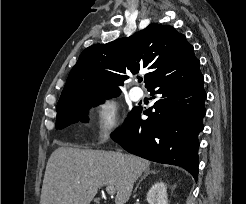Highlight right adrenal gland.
<instances>
[{"instance_id":"1","label":"right adrenal gland","mask_w":246,"mask_h":204,"mask_svg":"<svg viewBox=\"0 0 246 204\" xmlns=\"http://www.w3.org/2000/svg\"><path fill=\"white\" fill-rule=\"evenodd\" d=\"M150 173H155V170H150V168H147L145 171H144V175L139 179V182L137 183L135 189H134V192L137 190V188L139 187L141 181Z\"/></svg>"}]
</instances>
